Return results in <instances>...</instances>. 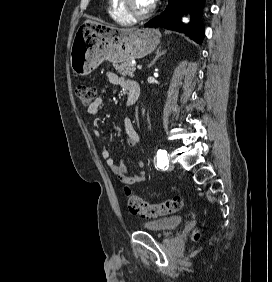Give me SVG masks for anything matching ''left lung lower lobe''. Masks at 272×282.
Listing matches in <instances>:
<instances>
[{
	"instance_id": "left-lung-lower-lobe-1",
	"label": "left lung lower lobe",
	"mask_w": 272,
	"mask_h": 282,
	"mask_svg": "<svg viewBox=\"0 0 272 282\" xmlns=\"http://www.w3.org/2000/svg\"><path fill=\"white\" fill-rule=\"evenodd\" d=\"M202 7L203 2L201 0H186L185 3H181L179 0H169L166 10L145 26L164 27L182 32L197 43H201L204 36V30L199 21ZM187 12H190L194 17L189 24H183L181 17Z\"/></svg>"
}]
</instances>
